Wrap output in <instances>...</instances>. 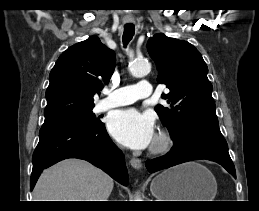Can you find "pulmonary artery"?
Masks as SVG:
<instances>
[{"label":"pulmonary artery","instance_id":"1","mask_svg":"<svg viewBox=\"0 0 259 211\" xmlns=\"http://www.w3.org/2000/svg\"><path fill=\"white\" fill-rule=\"evenodd\" d=\"M152 88L148 81H140L135 85H128L108 92V96L97 105L98 111L132 104L140 99L149 98Z\"/></svg>","mask_w":259,"mask_h":211}]
</instances>
